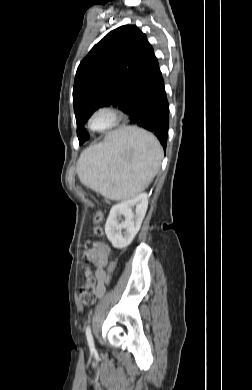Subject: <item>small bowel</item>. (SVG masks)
<instances>
[{"mask_svg": "<svg viewBox=\"0 0 252 390\" xmlns=\"http://www.w3.org/2000/svg\"><path fill=\"white\" fill-rule=\"evenodd\" d=\"M84 254L90 261L94 263L96 267L94 277L97 281V298L100 299L103 297L106 290V285L110 282L111 279L110 272L105 271V267L109 263V248L102 243H98L94 249H85Z\"/></svg>", "mask_w": 252, "mask_h": 390, "instance_id": "1", "label": "small bowel"}]
</instances>
